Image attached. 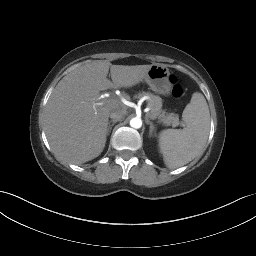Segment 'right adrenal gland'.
Returning <instances> with one entry per match:
<instances>
[{"label":"right adrenal gland","instance_id":"right-adrenal-gland-1","mask_svg":"<svg viewBox=\"0 0 256 256\" xmlns=\"http://www.w3.org/2000/svg\"><path fill=\"white\" fill-rule=\"evenodd\" d=\"M116 122H117L116 120H111V121L108 122V126H107V135L110 134L111 129H112V126H113ZM111 123H112V125H111Z\"/></svg>","mask_w":256,"mask_h":256}]
</instances>
